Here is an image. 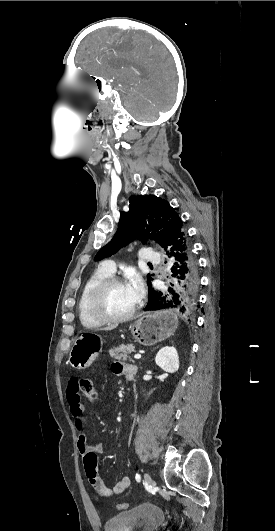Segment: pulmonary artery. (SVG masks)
Wrapping results in <instances>:
<instances>
[{
    "label": "pulmonary artery",
    "mask_w": 275,
    "mask_h": 531,
    "mask_svg": "<svg viewBox=\"0 0 275 531\" xmlns=\"http://www.w3.org/2000/svg\"><path fill=\"white\" fill-rule=\"evenodd\" d=\"M142 256L145 258V261L147 263H150L152 265L156 264V266H159L160 257H159V253L157 250L152 249L149 251V253L147 251H144L142 253ZM100 269L102 272H107L110 274L117 272V269L113 267V264L111 261H102L100 264ZM161 271H164V268H161Z\"/></svg>",
    "instance_id": "1"
}]
</instances>
